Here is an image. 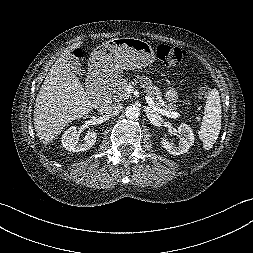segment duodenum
Returning a JSON list of instances; mask_svg holds the SVG:
<instances>
[{
    "instance_id": "410a0bca",
    "label": "duodenum",
    "mask_w": 253,
    "mask_h": 253,
    "mask_svg": "<svg viewBox=\"0 0 253 253\" xmlns=\"http://www.w3.org/2000/svg\"><path fill=\"white\" fill-rule=\"evenodd\" d=\"M97 94H98V106L100 111H105L106 107L108 106L110 102V92L109 89L106 87H99L97 88Z\"/></svg>"
}]
</instances>
